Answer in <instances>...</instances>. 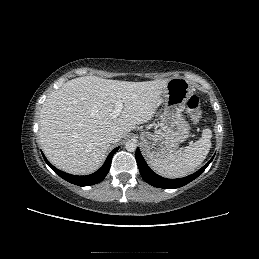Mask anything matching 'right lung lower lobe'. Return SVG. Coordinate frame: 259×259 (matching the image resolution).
I'll return each mask as SVG.
<instances>
[{"mask_svg":"<svg viewBox=\"0 0 259 259\" xmlns=\"http://www.w3.org/2000/svg\"><path fill=\"white\" fill-rule=\"evenodd\" d=\"M119 149V147L115 148L114 150H112L110 152V154L108 155L105 163L103 164V166L96 171L95 173L91 174V175H86V176H75V175H71L68 173H65L63 171L58 170L57 168H55L53 165H51L49 163V161L46 159V157L43 155L44 160L46 161V163L63 179H65L66 181L78 185V186H89V185H93V184H97L99 182H101L105 176L107 175L110 166H111V160L113 157V154Z\"/></svg>","mask_w":259,"mask_h":259,"instance_id":"1","label":"right lung lower lobe"}]
</instances>
